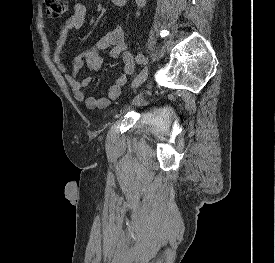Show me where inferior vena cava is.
<instances>
[{
	"mask_svg": "<svg viewBox=\"0 0 275 263\" xmlns=\"http://www.w3.org/2000/svg\"><path fill=\"white\" fill-rule=\"evenodd\" d=\"M135 1L139 7H143L145 6L147 0H135Z\"/></svg>",
	"mask_w": 275,
	"mask_h": 263,
	"instance_id": "1",
	"label": "inferior vena cava"
}]
</instances>
